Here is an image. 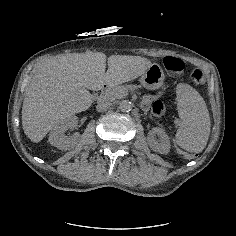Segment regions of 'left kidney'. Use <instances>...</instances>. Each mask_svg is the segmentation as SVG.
Returning <instances> with one entry per match:
<instances>
[{
	"mask_svg": "<svg viewBox=\"0 0 236 236\" xmlns=\"http://www.w3.org/2000/svg\"><path fill=\"white\" fill-rule=\"evenodd\" d=\"M158 135L161 139V143H157L154 136ZM147 143L150 149L161 155H168L171 150L170 139L167 133L160 127L152 128L147 134Z\"/></svg>",
	"mask_w": 236,
	"mask_h": 236,
	"instance_id": "1",
	"label": "left kidney"
}]
</instances>
